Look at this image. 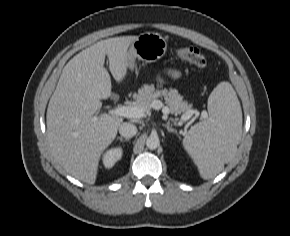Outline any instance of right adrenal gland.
Here are the masks:
<instances>
[{"mask_svg": "<svg viewBox=\"0 0 290 236\" xmlns=\"http://www.w3.org/2000/svg\"><path fill=\"white\" fill-rule=\"evenodd\" d=\"M116 140H120L121 142L129 141V138L117 137Z\"/></svg>", "mask_w": 290, "mask_h": 236, "instance_id": "right-adrenal-gland-1", "label": "right adrenal gland"}]
</instances>
